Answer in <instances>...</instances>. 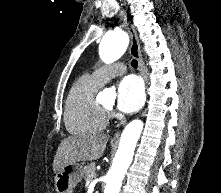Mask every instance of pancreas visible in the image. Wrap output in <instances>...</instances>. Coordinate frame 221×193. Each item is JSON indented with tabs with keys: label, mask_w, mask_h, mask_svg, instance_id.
Here are the masks:
<instances>
[{
	"label": "pancreas",
	"mask_w": 221,
	"mask_h": 193,
	"mask_svg": "<svg viewBox=\"0 0 221 193\" xmlns=\"http://www.w3.org/2000/svg\"><path fill=\"white\" fill-rule=\"evenodd\" d=\"M94 174H95V163L91 162L89 164H87L86 166H84L83 168V177L85 179V181H90L94 178Z\"/></svg>",
	"instance_id": "obj_1"
}]
</instances>
